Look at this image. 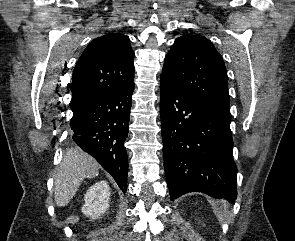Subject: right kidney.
<instances>
[{"instance_id": "1", "label": "right kidney", "mask_w": 295, "mask_h": 241, "mask_svg": "<svg viewBox=\"0 0 295 241\" xmlns=\"http://www.w3.org/2000/svg\"><path fill=\"white\" fill-rule=\"evenodd\" d=\"M82 212L93 219L99 218L109 208L110 187L102 180L91 186L85 194Z\"/></svg>"}]
</instances>
